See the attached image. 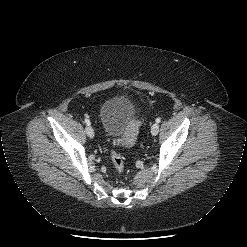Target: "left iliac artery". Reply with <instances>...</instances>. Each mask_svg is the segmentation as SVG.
Segmentation results:
<instances>
[{
  "label": "left iliac artery",
  "mask_w": 247,
  "mask_h": 247,
  "mask_svg": "<svg viewBox=\"0 0 247 247\" xmlns=\"http://www.w3.org/2000/svg\"><path fill=\"white\" fill-rule=\"evenodd\" d=\"M160 122H161V118H157L156 123H160Z\"/></svg>",
  "instance_id": "obj_1"
}]
</instances>
